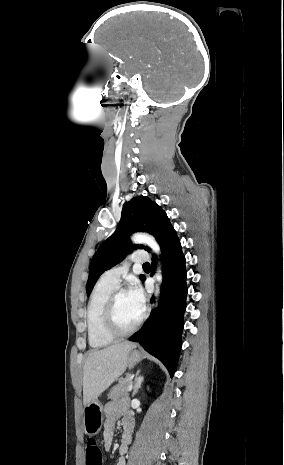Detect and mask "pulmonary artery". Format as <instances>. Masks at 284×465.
Segmentation results:
<instances>
[{
  "instance_id": "obj_1",
  "label": "pulmonary artery",
  "mask_w": 284,
  "mask_h": 465,
  "mask_svg": "<svg viewBox=\"0 0 284 465\" xmlns=\"http://www.w3.org/2000/svg\"><path fill=\"white\" fill-rule=\"evenodd\" d=\"M148 258H149L148 250H134L132 252V261L134 263H146L148 261ZM124 260L126 262H129L131 260V257L129 255H126L124 257ZM127 269L128 267L126 264L111 268L101 275L100 280L105 283L118 286L123 276L126 274Z\"/></svg>"
}]
</instances>
